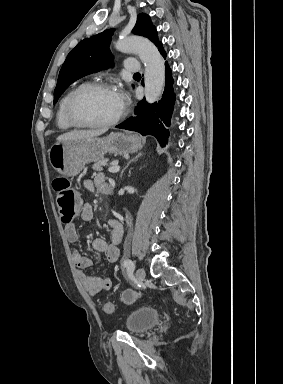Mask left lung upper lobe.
<instances>
[{
	"label": "left lung upper lobe",
	"instance_id": "5c2ea615",
	"mask_svg": "<svg viewBox=\"0 0 283 384\" xmlns=\"http://www.w3.org/2000/svg\"><path fill=\"white\" fill-rule=\"evenodd\" d=\"M133 33L147 37L156 46L161 44L150 17L145 13L137 16ZM112 34L113 30H105L80 41L77 46L70 51L58 76L54 91V103L74 81L87 74L109 68L112 65L113 56L108 48Z\"/></svg>",
	"mask_w": 283,
	"mask_h": 384
}]
</instances>
